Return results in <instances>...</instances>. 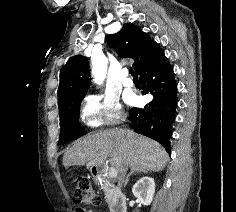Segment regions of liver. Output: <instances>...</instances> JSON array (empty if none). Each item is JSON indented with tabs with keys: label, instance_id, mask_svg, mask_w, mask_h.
<instances>
[{
	"label": "liver",
	"instance_id": "liver-1",
	"mask_svg": "<svg viewBox=\"0 0 236 212\" xmlns=\"http://www.w3.org/2000/svg\"><path fill=\"white\" fill-rule=\"evenodd\" d=\"M110 157V164L119 171L124 161L128 167L146 171H162L169 159L156 141L131 130L107 129L89 134L77 141L64 154L63 165L100 167Z\"/></svg>",
	"mask_w": 236,
	"mask_h": 212
}]
</instances>
